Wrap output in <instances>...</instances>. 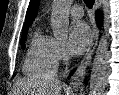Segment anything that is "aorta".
I'll return each instance as SVG.
<instances>
[{
    "label": "aorta",
    "mask_w": 119,
    "mask_h": 95,
    "mask_svg": "<svg viewBox=\"0 0 119 95\" xmlns=\"http://www.w3.org/2000/svg\"><path fill=\"white\" fill-rule=\"evenodd\" d=\"M73 0H53L51 25L56 38L65 39L68 35L69 9ZM109 63L108 42L102 37L92 64L89 95H104Z\"/></svg>",
    "instance_id": "obj_1"
}]
</instances>
